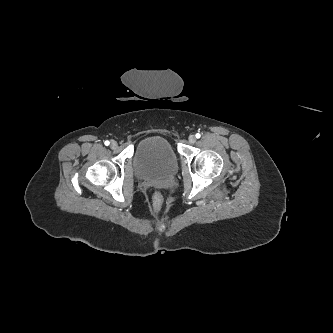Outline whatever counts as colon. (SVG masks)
I'll use <instances>...</instances> for the list:
<instances>
[{
  "instance_id": "obj_1",
  "label": "colon",
  "mask_w": 333,
  "mask_h": 333,
  "mask_svg": "<svg viewBox=\"0 0 333 333\" xmlns=\"http://www.w3.org/2000/svg\"><path fill=\"white\" fill-rule=\"evenodd\" d=\"M162 197L159 194L155 195V203L158 208H161L162 206Z\"/></svg>"
}]
</instances>
